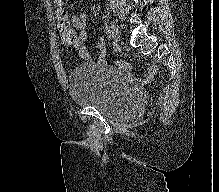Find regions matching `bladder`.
Masks as SVG:
<instances>
[{
	"label": "bladder",
	"mask_w": 219,
	"mask_h": 192,
	"mask_svg": "<svg viewBox=\"0 0 219 192\" xmlns=\"http://www.w3.org/2000/svg\"><path fill=\"white\" fill-rule=\"evenodd\" d=\"M68 89L74 102L116 121L134 117L140 108V93L130 78L109 64L76 66L68 75Z\"/></svg>",
	"instance_id": "bladder-1"
}]
</instances>
